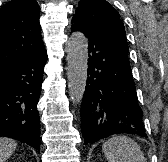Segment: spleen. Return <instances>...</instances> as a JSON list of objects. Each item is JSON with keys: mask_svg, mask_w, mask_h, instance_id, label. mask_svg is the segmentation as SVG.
<instances>
[{"mask_svg": "<svg viewBox=\"0 0 168 162\" xmlns=\"http://www.w3.org/2000/svg\"><path fill=\"white\" fill-rule=\"evenodd\" d=\"M102 150L109 162H147L140 146L124 135L108 139Z\"/></svg>", "mask_w": 168, "mask_h": 162, "instance_id": "obj_1", "label": "spleen"}]
</instances>
